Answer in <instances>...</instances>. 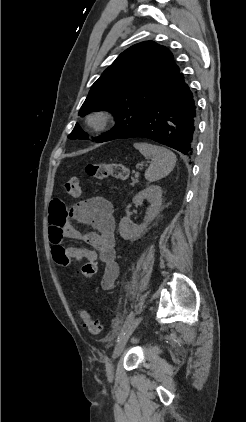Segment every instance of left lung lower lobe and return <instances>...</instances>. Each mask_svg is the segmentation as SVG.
Instances as JSON below:
<instances>
[{
    "instance_id": "1",
    "label": "left lung lower lobe",
    "mask_w": 246,
    "mask_h": 422,
    "mask_svg": "<svg viewBox=\"0 0 246 422\" xmlns=\"http://www.w3.org/2000/svg\"><path fill=\"white\" fill-rule=\"evenodd\" d=\"M196 132V102L179 70L138 122L118 138L152 139L191 157L194 153Z\"/></svg>"
}]
</instances>
